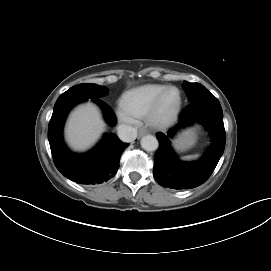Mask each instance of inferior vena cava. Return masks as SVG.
I'll return each mask as SVG.
<instances>
[{"label":"inferior vena cava","instance_id":"obj_1","mask_svg":"<svg viewBox=\"0 0 271 271\" xmlns=\"http://www.w3.org/2000/svg\"><path fill=\"white\" fill-rule=\"evenodd\" d=\"M118 137L123 142H132L137 137V130L128 125L118 126Z\"/></svg>","mask_w":271,"mask_h":271}]
</instances>
